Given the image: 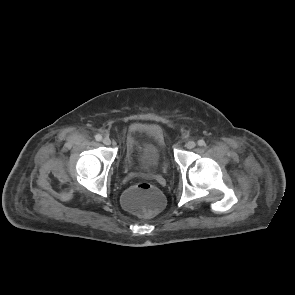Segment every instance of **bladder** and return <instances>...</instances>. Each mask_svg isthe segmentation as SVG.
<instances>
[{
    "mask_svg": "<svg viewBox=\"0 0 295 295\" xmlns=\"http://www.w3.org/2000/svg\"><path fill=\"white\" fill-rule=\"evenodd\" d=\"M124 163L128 169L166 171L169 157L163 132L150 127L135 131L126 146Z\"/></svg>",
    "mask_w": 295,
    "mask_h": 295,
    "instance_id": "31cf9c89",
    "label": "bladder"
}]
</instances>
